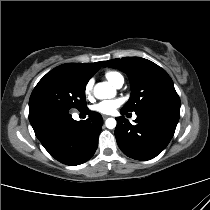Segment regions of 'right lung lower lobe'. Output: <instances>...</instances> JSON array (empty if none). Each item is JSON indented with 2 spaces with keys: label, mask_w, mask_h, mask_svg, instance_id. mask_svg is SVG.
Returning a JSON list of instances; mask_svg holds the SVG:
<instances>
[{
  "label": "right lung lower lobe",
  "mask_w": 210,
  "mask_h": 210,
  "mask_svg": "<svg viewBox=\"0 0 210 210\" xmlns=\"http://www.w3.org/2000/svg\"><path fill=\"white\" fill-rule=\"evenodd\" d=\"M85 111L89 115L85 121H75L69 113H55L31 122L41 144L61 163L82 164L97 149L103 119L97 112Z\"/></svg>",
  "instance_id": "right-lung-lower-lobe-1"
}]
</instances>
